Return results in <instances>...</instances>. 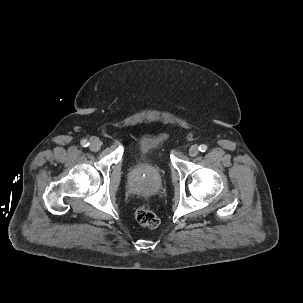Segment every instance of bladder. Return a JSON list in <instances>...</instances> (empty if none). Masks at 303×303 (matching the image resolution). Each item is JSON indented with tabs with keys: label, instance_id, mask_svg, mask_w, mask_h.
Instances as JSON below:
<instances>
[{
	"label": "bladder",
	"instance_id": "31cf9c89",
	"mask_svg": "<svg viewBox=\"0 0 303 303\" xmlns=\"http://www.w3.org/2000/svg\"><path fill=\"white\" fill-rule=\"evenodd\" d=\"M169 137L165 133L150 132L141 134L136 141L138 160H146L152 155L163 157Z\"/></svg>",
	"mask_w": 303,
	"mask_h": 303
}]
</instances>
